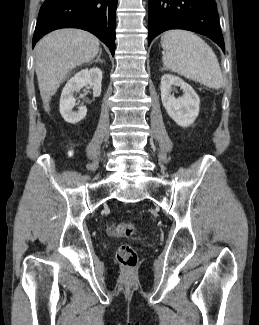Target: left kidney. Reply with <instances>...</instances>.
Returning <instances> with one entry per match:
<instances>
[{"label":"left kidney","instance_id":"1","mask_svg":"<svg viewBox=\"0 0 259 325\" xmlns=\"http://www.w3.org/2000/svg\"><path fill=\"white\" fill-rule=\"evenodd\" d=\"M172 86L183 90L182 97L171 94ZM161 101L167 114L181 127L190 126L199 114L200 99L194 89L177 76L165 74L161 78Z\"/></svg>","mask_w":259,"mask_h":325}]
</instances>
